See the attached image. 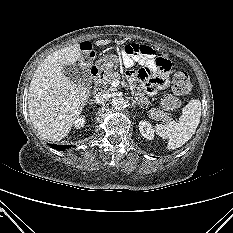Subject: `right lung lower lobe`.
I'll list each match as a JSON object with an SVG mask.
<instances>
[{"instance_id": "98d812e1", "label": "right lung lower lobe", "mask_w": 233, "mask_h": 233, "mask_svg": "<svg viewBox=\"0 0 233 233\" xmlns=\"http://www.w3.org/2000/svg\"><path fill=\"white\" fill-rule=\"evenodd\" d=\"M51 148L60 150V151H65L66 149H69L72 147V145H54V144H49Z\"/></svg>"}]
</instances>
